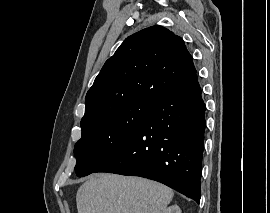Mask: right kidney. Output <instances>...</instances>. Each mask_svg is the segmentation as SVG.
Segmentation results:
<instances>
[{
	"label": "right kidney",
	"instance_id": "ca27d5eb",
	"mask_svg": "<svg viewBox=\"0 0 270 213\" xmlns=\"http://www.w3.org/2000/svg\"><path fill=\"white\" fill-rule=\"evenodd\" d=\"M161 213H181V210L178 205H172L165 208Z\"/></svg>",
	"mask_w": 270,
	"mask_h": 213
}]
</instances>
